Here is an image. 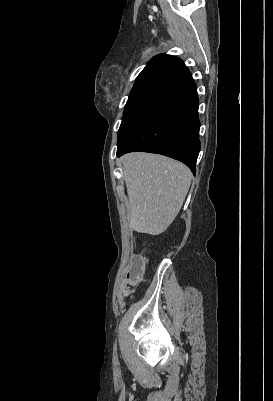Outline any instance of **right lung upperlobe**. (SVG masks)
I'll return each mask as SVG.
<instances>
[{
    "label": "right lung upper lobe",
    "instance_id": "obj_1",
    "mask_svg": "<svg viewBox=\"0 0 273 401\" xmlns=\"http://www.w3.org/2000/svg\"><path fill=\"white\" fill-rule=\"evenodd\" d=\"M193 82L191 73L181 59L172 55H158L138 75L130 96L156 94L170 97Z\"/></svg>",
    "mask_w": 273,
    "mask_h": 401
}]
</instances>
